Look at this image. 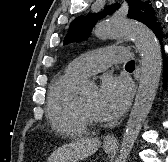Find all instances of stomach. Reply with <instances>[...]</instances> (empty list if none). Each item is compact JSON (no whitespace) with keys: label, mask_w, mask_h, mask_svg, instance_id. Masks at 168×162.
<instances>
[{"label":"stomach","mask_w":168,"mask_h":162,"mask_svg":"<svg viewBox=\"0 0 168 162\" xmlns=\"http://www.w3.org/2000/svg\"><path fill=\"white\" fill-rule=\"evenodd\" d=\"M103 149H104L105 153L110 154L115 150V147L114 146H111V147L104 146Z\"/></svg>","instance_id":"0dacf381"}]
</instances>
